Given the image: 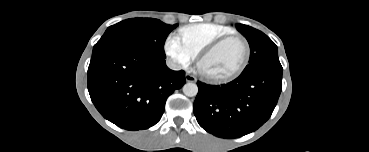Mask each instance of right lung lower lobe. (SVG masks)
I'll return each instance as SVG.
<instances>
[{"instance_id": "obj_1", "label": "right lung lower lobe", "mask_w": 369, "mask_h": 152, "mask_svg": "<svg viewBox=\"0 0 369 152\" xmlns=\"http://www.w3.org/2000/svg\"><path fill=\"white\" fill-rule=\"evenodd\" d=\"M185 72L172 71L164 59L131 46L92 54L88 91L104 118L131 131L155 125L167 98L180 89Z\"/></svg>"}]
</instances>
